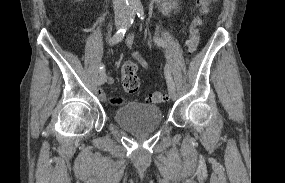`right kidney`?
I'll return each mask as SVG.
<instances>
[{
	"label": "right kidney",
	"mask_w": 285,
	"mask_h": 183,
	"mask_svg": "<svg viewBox=\"0 0 285 183\" xmlns=\"http://www.w3.org/2000/svg\"><path fill=\"white\" fill-rule=\"evenodd\" d=\"M74 1L80 2V1H82V0H74Z\"/></svg>",
	"instance_id": "1"
}]
</instances>
